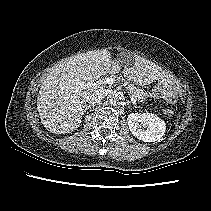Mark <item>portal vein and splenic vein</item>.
<instances>
[{"instance_id":"18ae733b","label":"portal vein and splenic vein","mask_w":211,"mask_h":211,"mask_svg":"<svg viewBox=\"0 0 211 211\" xmlns=\"http://www.w3.org/2000/svg\"><path fill=\"white\" fill-rule=\"evenodd\" d=\"M113 82H114V79H113V78L107 77V78L102 79V80L99 79V80L96 81V82H89L88 85H89V86L96 87V86H100V85H103V84H112ZM130 98H131V102H132L133 104H136V99H135V97H134V96H131Z\"/></svg>"}]
</instances>
